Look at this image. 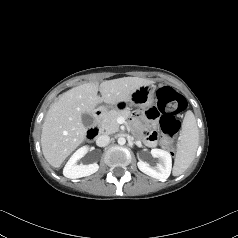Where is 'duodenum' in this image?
Masks as SVG:
<instances>
[{"label": "duodenum", "mask_w": 238, "mask_h": 238, "mask_svg": "<svg viewBox=\"0 0 238 238\" xmlns=\"http://www.w3.org/2000/svg\"><path fill=\"white\" fill-rule=\"evenodd\" d=\"M104 113L105 112L102 108H99L94 112L93 124L87 132V136L89 139H94L99 134V124L104 116Z\"/></svg>", "instance_id": "1"}]
</instances>
